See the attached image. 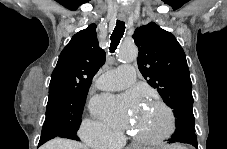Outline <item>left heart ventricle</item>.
Masks as SVG:
<instances>
[{
	"label": "left heart ventricle",
	"instance_id": "b2bd125f",
	"mask_svg": "<svg viewBox=\"0 0 227 149\" xmlns=\"http://www.w3.org/2000/svg\"><path fill=\"white\" fill-rule=\"evenodd\" d=\"M167 125L164 111L157 105L146 102L136 112L132 127L134 134L138 136H154L162 133Z\"/></svg>",
	"mask_w": 227,
	"mask_h": 149
}]
</instances>
